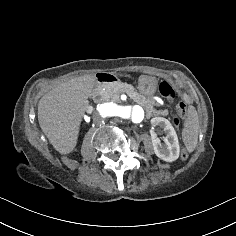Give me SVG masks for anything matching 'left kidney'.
<instances>
[{
	"mask_svg": "<svg viewBox=\"0 0 236 236\" xmlns=\"http://www.w3.org/2000/svg\"><path fill=\"white\" fill-rule=\"evenodd\" d=\"M151 126L150 134L155 154L167 162L178 159L180 153L178 137L170 121L163 117H154L151 119ZM157 126L166 134L163 142L158 137L159 132L155 131Z\"/></svg>",
	"mask_w": 236,
	"mask_h": 236,
	"instance_id": "5707ae66",
	"label": "left kidney"
}]
</instances>
